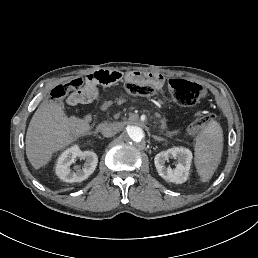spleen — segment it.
Listing matches in <instances>:
<instances>
[{"instance_id":"3e777b00","label":"spleen","mask_w":258,"mask_h":258,"mask_svg":"<svg viewBox=\"0 0 258 258\" xmlns=\"http://www.w3.org/2000/svg\"><path fill=\"white\" fill-rule=\"evenodd\" d=\"M221 126L212 121L195 139V164L203 181H208L217 169L222 155Z\"/></svg>"}]
</instances>
